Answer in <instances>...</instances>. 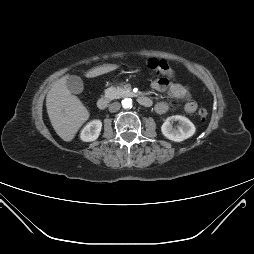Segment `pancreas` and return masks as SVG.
I'll return each mask as SVG.
<instances>
[{"label":"pancreas","mask_w":254,"mask_h":254,"mask_svg":"<svg viewBox=\"0 0 254 254\" xmlns=\"http://www.w3.org/2000/svg\"><path fill=\"white\" fill-rule=\"evenodd\" d=\"M105 97L110 99V100H113V99H118L124 95H127L128 94V90L125 89V88H122V87H109L107 88L105 91Z\"/></svg>","instance_id":"pancreas-1"}]
</instances>
